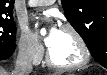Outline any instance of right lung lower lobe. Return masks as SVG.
<instances>
[{
  "label": "right lung lower lobe",
  "mask_w": 107,
  "mask_h": 75,
  "mask_svg": "<svg viewBox=\"0 0 107 75\" xmlns=\"http://www.w3.org/2000/svg\"><path fill=\"white\" fill-rule=\"evenodd\" d=\"M14 50H15V46L14 47H0V59L1 60L7 59L8 57L12 55Z\"/></svg>",
  "instance_id": "obj_1"
}]
</instances>
